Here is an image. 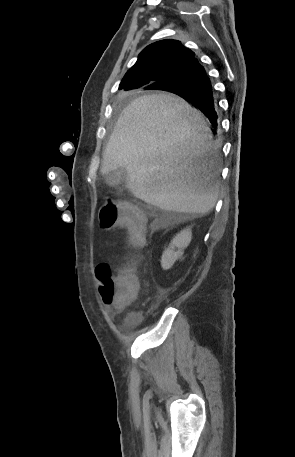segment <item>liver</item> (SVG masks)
I'll use <instances>...</instances> for the list:
<instances>
[{
    "mask_svg": "<svg viewBox=\"0 0 295 457\" xmlns=\"http://www.w3.org/2000/svg\"><path fill=\"white\" fill-rule=\"evenodd\" d=\"M210 138L202 113L183 99L144 95L118 118L100 172L125 168L135 197L168 212L205 215L219 193L220 159Z\"/></svg>",
    "mask_w": 295,
    "mask_h": 457,
    "instance_id": "6515ba94",
    "label": "liver"
}]
</instances>
